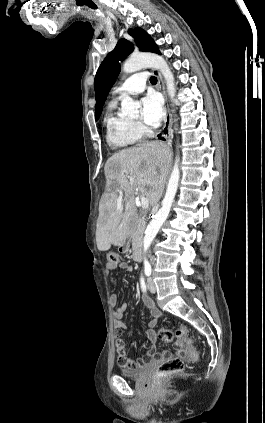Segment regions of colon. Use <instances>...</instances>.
I'll list each match as a JSON object with an SVG mask.
<instances>
[{
	"mask_svg": "<svg viewBox=\"0 0 265 423\" xmlns=\"http://www.w3.org/2000/svg\"><path fill=\"white\" fill-rule=\"evenodd\" d=\"M107 260L110 264H116L119 261V256L116 252L110 251L107 254ZM159 339L164 343L171 342L174 338H177L180 345L185 348V355L190 348V339L188 337V328L184 325L179 326V328L173 332L170 329L161 327L158 332ZM192 356H196L194 352H191ZM124 367H133L131 363H120ZM184 367L183 360L178 357L170 358L163 362L156 371V378L162 379L166 376L178 373L182 371Z\"/></svg>",
	"mask_w": 265,
	"mask_h": 423,
	"instance_id": "colon-1",
	"label": "colon"
}]
</instances>
